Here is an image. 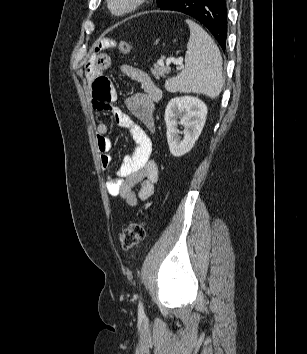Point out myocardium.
Instances as JSON below:
<instances>
[{
  "label": "myocardium",
  "instance_id": "myocardium-1",
  "mask_svg": "<svg viewBox=\"0 0 307 354\" xmlns=\"http://www.w3.org/2000/svg\"><path fill=\"white\" fill-rule=\"evenodd\" d=\"M146 0H126L121 8L116 7V0H107V6L112 15L117 17L126 16L139 9Z\"/></svg>",
  "mask_w": 307,
  "mask_h": 354
}]
</instances>
